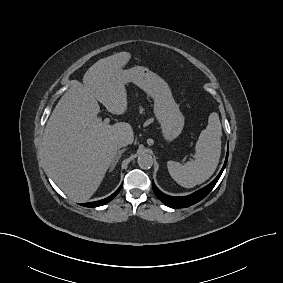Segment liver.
<instances>
[{"instance_id": "obj_1", "label": "liver", "mask_w": 283, "mask_h": 283, "mask_svg": "<svg viewBox=\"0 0 283 283\" xmlns=\"http://www.w3.org/2000/svg\"><path fill=\"white\" fill-rule=\"evenodd\" d=\"M131 58L120 52L98 60L72 81L54 108L43 134V153L49 174L73 201H87L100 186L117 154V142L133 143L131 125L98 121L102 103L112 114L127 110V92L120 70Z\"/></svg>"}]
</instances>
